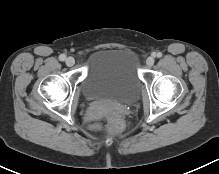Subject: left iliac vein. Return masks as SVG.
Here are the masks:
<instances>
[{"mask_svg":"<svg viewBox=\"0 0 219 174\" xmlns=\"http://www.w3.org/2000/svg\"><path fill=\"white\" fill-rule=\"evenodd\" d=\"M146 64H147V66H149V67L153 66V64H154V58H153V57H148V58L146 59Z\"/></svg>","mask_w":219,"mask_h":174,"instance_id":"4c4485c4","label":"left iliac vein"}]
</instances>
